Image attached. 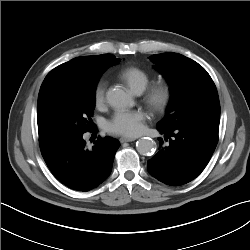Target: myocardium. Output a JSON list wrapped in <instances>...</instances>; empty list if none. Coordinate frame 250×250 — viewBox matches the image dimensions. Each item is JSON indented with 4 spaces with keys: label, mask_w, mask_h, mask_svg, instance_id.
<instances>
[{
    "label": "myocardium",
    "mask_w": 250,
    "mask_h": 250,
    "mask_svg": "<svg viewBox=\"0 0 250 250\" xmlns=\"http://www.w3.org/2000/svg\"><path fill=\"white\" fill-rule=\"evenodd\" d=\"M173 97V91L169 84L160 82L150 86L144 100L147 105L157 113L164 112L170 105Z\"/></svg>",
    "instance_id": "1"
}]
</instances>
